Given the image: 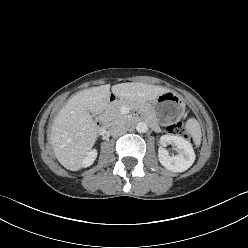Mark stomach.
I'll return each mask as SVG.
<instances>
[{"label": "stomach", "instance_id": "0dacf381", "mask_svg": "<svg viewBox=\"0 0 248 248\" xmlns=\"http://www.w3.org/2000/svg\"><path fill=\"white\" fill-rule=\"evenodd\" d=\"M148 110L161 124H169L183 115L185 104L180 95L173 91H167L154 99Z\"/></svg>", "mask_w": 248, "mask_h": 248}]
</instances>
